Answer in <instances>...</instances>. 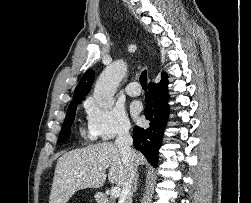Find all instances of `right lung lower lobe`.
I'll return each instance as SVG.
<instances>
[{
  "label": "right lung lower lobe",
  "mask_w": 251,
  "mask_h": 203,
  "mask_svg": "<svg viewBox=\"0 0 251 203\" xmlns=\"http://www.w3.org/2000/svg\"><path fill=\"white\" fill-rule=\"evenodd\" d=\"M148 88L144 114L150 121L149 127L135 126L133 141L134 147L141 151L152 165H157L158 149L169 117L167 75L162 73L161 81L157 84L149 83Z\"/></svg>",
  "instance_id": "1"
}]
</instances>
